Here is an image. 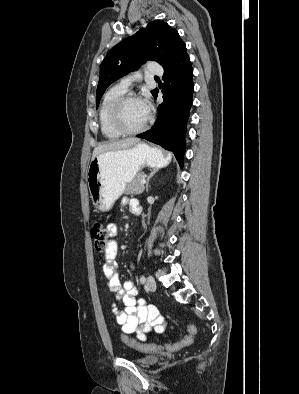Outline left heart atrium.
Segmentation results:
<instances>
[{
    "label": "left heart atrium",
    "instance_id": "39dd6f15",
    "mask_svg": "<svg viewBox=\"0 0 299 394\" xmlns=\"http://www.w3.org/2000/svg\"><path fill=\"white\" fill-rule=\"evenodd\" d=\"M141 105L144 109V111L149 114L150 110H151V102L149 101L148 98H144L140 100Z\"/></svg>",
    "mask_w": 299,
    "mask_h": 394
}]
</instances>
